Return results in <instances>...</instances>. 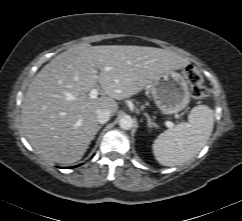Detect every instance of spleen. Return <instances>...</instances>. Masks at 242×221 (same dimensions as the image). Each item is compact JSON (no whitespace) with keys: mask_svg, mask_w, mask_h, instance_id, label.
Returning <instances> with one entry per match:
<instances>
[{"mask_svg":"<svg viewBox=\"0 0 242 221\" xmlns=\"http://www.w3.org/2000/svg\"><path fill=\"white\" fill-rule=\"evenodd\" d=\"M214 111L206 105L192 108L187 122L161 133L152 145L156 160L164 166H176L192 159L212 134Z\"/></svg>","mask_w":242,"mask_h":221,"instance_id":"1","label":"spleen"}]
</instances>
